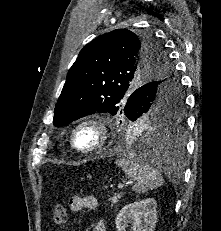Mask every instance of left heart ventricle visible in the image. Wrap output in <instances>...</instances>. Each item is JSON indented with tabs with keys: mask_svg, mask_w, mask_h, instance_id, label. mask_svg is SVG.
<instances>
[{
	"mask_svg": "<svg viewBox=\"0 0 221 231\" xmlns=\"http://www.w3.org/2000/svg\"><path fill=\"white\" fill-rule=\"evenodd\" d=\"M98 141V132L93 126H85L76 134V142L83 149L93 147Z\"/></svg>",
	"mask_w": 221,
	"mask_h": 231,
	"instance_id": "b2bd125f",
	"label": "left heart ventricle"
}]
</instances>
